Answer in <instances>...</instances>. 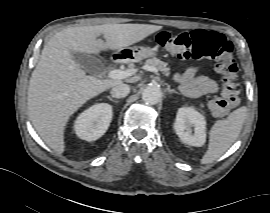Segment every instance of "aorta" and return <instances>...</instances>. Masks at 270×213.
<instances>
[{"instance_id":"obj_1","label":"aorta","mask_w":270,"mask_h":213,"mask_svg":"<svg viewBox=\"0 0 270 213\" xmlns=\"http://www.w3.org/2000/svg\"><path fill=\"white\" fill-rule=\"evenodd\" d=\"M161 89L159 85H149L142 92V100L148 104H156L161 99Z\"/></svg>"}]
</instances>
